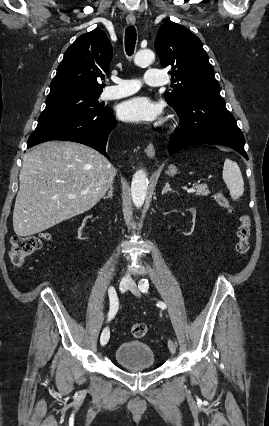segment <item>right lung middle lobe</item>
I'll return each mask as SVG.
<instances>
[{
    "mask_svg": "<svg viewBox=\"0 0 269 426\" xmlns=\"http://www.w3.org/2000/svg\"><path fill=\"white\" fill-rule=\"evenodd\" d=\"M100 94L77 89L50 92L36 130L103 111L98 102Z\"/></svg>",
    "mask_w": 269,
    "mask_h": 426,
    "instance_id": "dd1d6c3e",
    "label": "right lung middle lobe"
}]
</instances>
